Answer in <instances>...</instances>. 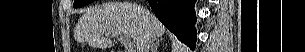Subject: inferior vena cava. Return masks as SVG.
Here are the masks:
<instances>
[{
	"mask_svg": "<svg viewBox=\"0 0 305 52\" xmlns=\"http://www.w3.org/2000/svg\"><path fill=\"white\" fill-rule=\"evenodd\" d=\"M153 37L146 34L141 42L137 45V52H149V48L153 42Z\"/></svg>",
	"mask_w": 305,
	"mask_h": 52,
	"instance_id": "602c4592",
	"label": "inferior vena cava"
}]
</instances>
